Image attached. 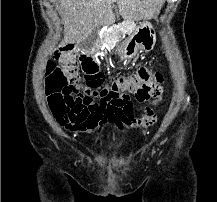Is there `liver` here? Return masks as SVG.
I'll use <instances>...</instances> for the list:
<instances>
[{"mask_svg":"<svg viewBox=\"0 0 217 202\" xmlns=\"http://www.w3.org/2000/svg\"><path fill=\"white\" fill-rule=\"evenodd\" d=\"M64 20L62 44H80L99 26L114 22L113 6L116 2L123 20L140 22L151 20L160 12L165 0H52Z\"/></svg>","mask_w":217,"mask_h":202,"instance_id":"1","label":"liver"}]
</instances>
